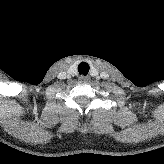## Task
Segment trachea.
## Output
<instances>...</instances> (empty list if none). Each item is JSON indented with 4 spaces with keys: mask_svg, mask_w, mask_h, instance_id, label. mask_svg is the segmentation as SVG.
Here are the masks:
<instances>
[{
    "mask_svg": "<svg viewBox=\"0 0 164 164\" xmlns=\"http://www.w3.org/2000/svg\"><path fill=\"white\" fill-rule=\"evenodd\" d=\"M78 72L81 75H84V76L87 75L89 72V65L86 62H81L78 65Z\"/></svg>",
    "mask_w": 164,
    "mask_h": 164,
    "instance_id": "3493384b",
    "label": "trachea"
}]
</instances>
